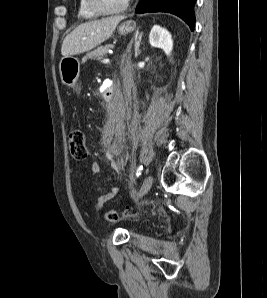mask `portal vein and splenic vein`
<instances>
[{
    "label": "portal vein and splenic vein",
    "mask_w": 267,
    "mask_h": 298,
    "mask_svg": "<svg viewBox=\"0 0 267 298\" xmlns=\"http://www.w3.org/2000/svg\"><path fill=\"white\" fill-rule=\"evenodd\" d=\"M107 61H109V59H108V58H106V59H104V60H103V62H107Z\"/></svg>",
    "instance_id": "18ae733b"
}]
</instances>
